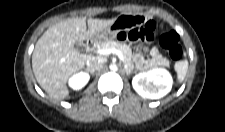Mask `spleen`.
I'll use <instances>...</instances> for the list:
<instances>
[{
  "label": "spleen",
  "instance_id": "obj_1",
  "mask_svg": "<svg viewBox=\"0 0 225 132\" xmlns=\"http://www.w3.org/2000/svg\"><path fill=\"white\" fill-rule=\"evenodd\" d=\"M175 70L177 72V78L179 82H182L188 71V61H178L175 63Z\"/></svg>",
  "mask_w": 225,
  "mask_h": 132
}]
</instances>
